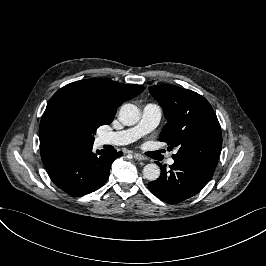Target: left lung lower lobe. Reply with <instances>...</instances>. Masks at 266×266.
<instances>
[{"mask_svg": "<svg viewBox=\"0 0 266 266\" xmlns=\"http://www.w3.org/2000/svg\"><path fill=\"white\" fill-rule=\"evenodd\" d=\"M160 167V177L148 183V188L159 199L170 204L196 195L209 182L214 171L201 163L184 159H174L169 171H166V165Z\"/></svg>", "mask_w": 266, "mask_h": 266, "instance_id": "left-lung-lower-lobe-1", "label": "left lung lower lobe"}]
</instances>
